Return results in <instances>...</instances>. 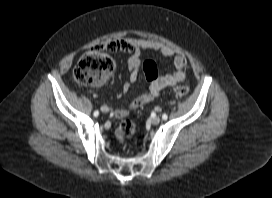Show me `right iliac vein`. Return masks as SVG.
Masks as SVG:
<instances>
[{"label":"right iliac vein","mask_w":272,"mask_h":198,"mask_svg":"<svg viewBox=\"0 0 272 198\" xmlns=\"http://www.w3.org/2000/svg\"><path fill=\"white\" fill-rule=\"evenodd\" d=\"M101 111H102L103 113L109 112L108 106H106V105L102 106V107H101Z\"/></svg>","instance_id":"63e3f726"}]
</instances>
